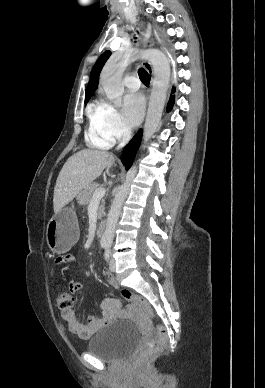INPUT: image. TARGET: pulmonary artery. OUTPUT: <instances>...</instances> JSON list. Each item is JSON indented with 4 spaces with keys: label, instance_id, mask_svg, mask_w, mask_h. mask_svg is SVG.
I'll return each mask as SVG.
<instances>
[{
    "label": "pulmonary artery",
    "instance_id": "e3ab8cb5",
    "mask_svg": "<svg viewBox=\"0 0 265 388\" xmlns=\"http://www.w3.org/2000/svg\"><path fill=\"white\" fill-rule=\"evenodd\" d=\"M124 84L125 86H128V94H137L140 81L137 79L136 75H127Z\"/></svg>",
    "mask_w": 265,
    "mask_h": 388
}]
</instances>
